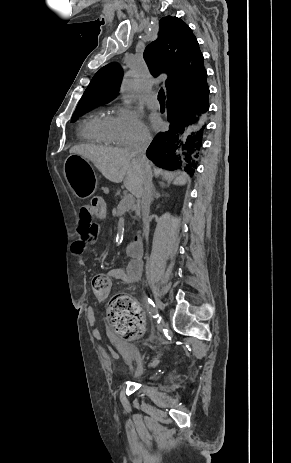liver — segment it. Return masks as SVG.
Masks as SVG:
<instances>
[{
    "mask_svg": "<svg viewBox=\"0 0 291 463\" xmlns=\"http://www.w3.org/2000/svg\"><path fill=\"white\" fill-rule=\"evenodd\" d=\"M70 153L80 155L93 162L102 175L111 182L120 183L123 181L126 189L140 198L144 168L129 153L128 149L83 144L73 146ZM171 178L174 179V185H184L189 180L188 175L179 172L172 174Z\"/></svg>",
    "mask_w": 291,
    "mask_h": 463,
    "instance_id": "1",
    "label": "liver"
}]
</instances>
